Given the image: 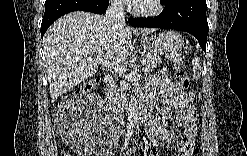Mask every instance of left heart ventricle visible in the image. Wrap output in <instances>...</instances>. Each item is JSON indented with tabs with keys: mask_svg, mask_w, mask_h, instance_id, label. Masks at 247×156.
<instances>
[{
	"mask_svg": "<svg viewBox=\"0 0 247 156\" xmlns=\"http://www.w3.org/2000/svg\"><path fill=\"white\" fill-rule=\"evenodd\" d=\"M148 4H149V2L148 1H144L143 3H141L140 5L142 6V7H146V6H148Z\"/></svg>",
	"mask_w": 247,
	"mask_h": 156,
	"instance_id": "b2bd125f",
	"label": "left heart ventricle"
}]
</instances>
